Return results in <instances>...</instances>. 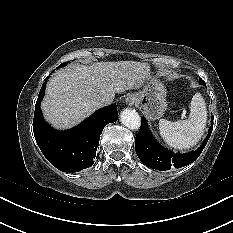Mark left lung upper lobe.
Returning a JSON list of instances; mask_svg holds the SVG:
<instances>
[{"label": "left lung upper lobe", "mask_w": 233, "mask_h": 233, "mask_svg": "<svg viewBox=\"0 0 233 233\" xmlns=\"http://www.w3.org/2000/svg\"><path fill=\"white\" fill-rule=\"evenodd\" d=\"M199 83H200L201 85H205V86H206L205 82H204L201 78H199Z\"/></svg>", "instance_id": "5c2ea615"}]
</instances>
